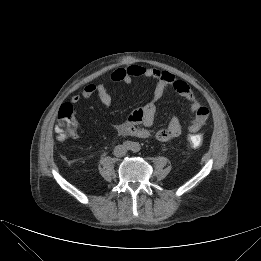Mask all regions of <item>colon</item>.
<instances>
[{
	"instance_id": "1",
	"label": "colon",
	"mask_w": 261,
	"mask_h": 261,
	"mask_svg": "<svg viewBox=\"0 0 261 261\" xmlns=\"http://www.w3.org/2000/svg\"><path fill=\"white\" fill-rule=\"evenodd\" d=\"M77 128V119L73 106L65 103L60 106L57 115L55 131L59 139H65L73 134ZM203 144V136L200 133H192L187 137V145L190 149H198Z\"/></svg>"
}]
</instances>
